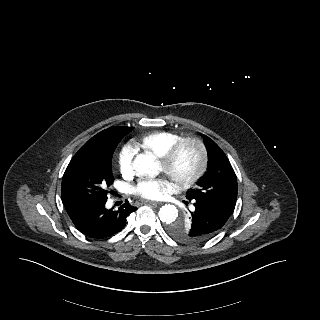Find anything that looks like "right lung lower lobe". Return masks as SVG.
Instances as JSON below:
<instances>
[{
  "label": "right lung lower lobe",
  "mask_w": 320,
  "mask_h": 320,
  "mask_svg": "<svg viewBox=\"0 0 320 320\" xmlns=\"http://www.w3.org/2000/svg\"><path fill=\"white\" fill-rule=\"evenodd\" d=\"M104 201L66 202L65 209L76 228L92 239H103L121 231L127 217L137 210L128 201L118 210L106 209Z\"/></svg>",
  "instance_id": "right-lung-lower-lobe-1"
}]
</instances>
